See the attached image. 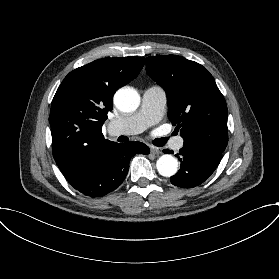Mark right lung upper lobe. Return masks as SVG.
<instances>
[{"label": "right lung upper lobe", "instance_id": "cb5924a9", "mask_svg": "<svg viewBox=\"0 0 279 279\" xmlns=\"http://www.w3.org/2000/svg\"><path fill=\"white\" fill-rule=\"evenodd\" d=\"M144 63L137 56L95 60L70 72L57 89L50 110L53 157L71 185L94 172L116 144L104 139L102 125L116 90Z\"/></svg>", "mask_w": 279, "mask_h": 279}]
</instances>
